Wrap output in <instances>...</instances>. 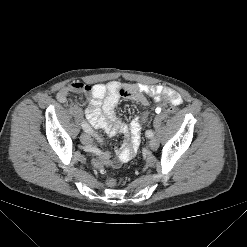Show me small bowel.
I'll return each instance as SVG.
<instances>
[{
	"label": "small bowel",
	"mask_w": 247,
	"mask_h": 247,
	"mask_svg": "<svg viewBox=\"0 0 247 247\" xmlns=\"http://www.w3.org/2000/svg\"><path fill=\"white\" fill-rule=\"evenodd\" d=\"M71 93L84 94L87 99L85 115L89 123L95 129H101L108 135L123 133L127 141L118 151L115 159H111L108 152H101L97 148H90L89 153L93 157V164L100 161L104 166L118 167L127 162L135 155L141 136V128L144 116L136 117L129 125L119 120L115 114V108L121 98L129 99L139 105L148 104L146 95L152 97L156 102L168 100L171 104L179 106L182 103L180 94L171 88L161 85L145 84H121L118 81L108 83L85 84L82 82H71L57 92L60 103L73 106V100L69 97Z\"/></svg>",
	"instance_id": "c3829d8e"
}]
</instances>
